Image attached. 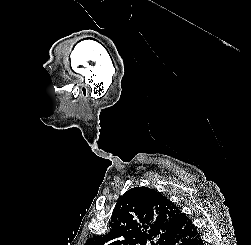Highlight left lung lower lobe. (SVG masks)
<instances>
[{"mask_svg": "<svg viewBox=\"0 0 251 245\" xmlns=\"http://www.w3.org/2000/svg\"><path fill=\"white\" fill-rule=\"evenodd\" d=\"M185 225L171 234L165 245H204L201 235L192 221L183 213Z\"/></svg>", "mask_w": 251, "mask_h": 245, "instance_id": "left-lung-lower-lobe-1", "label": "left lung lower lobe"}]
</instances>
